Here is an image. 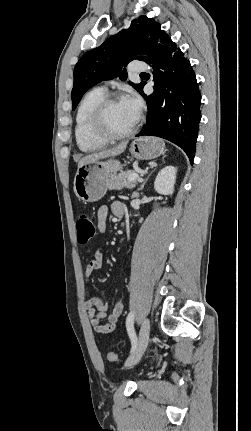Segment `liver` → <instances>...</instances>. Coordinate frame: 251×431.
<instances>
[{"label": "liver", "instance_id": "liver-1", "mask_svg": "<svg viewBox=\"0 0 251 431\" xmlns=\"http://www.w3.org/2000/svg\"><path fill=\"white\" fill-rule=\"evenodd\" d=\"M127 144L128 142L126 141V142L120 143L119 145L113 148L104 149L99 152L86 155L78 162V168L88 162L98 161L100 159H104L107 157L120 155L126 149Z\"/></svg>", "mask_w": 251, "mask_h": 431}]
</instances>
